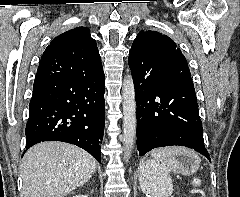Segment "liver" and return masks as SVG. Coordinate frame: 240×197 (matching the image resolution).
<instances>
[{
    "instance_id": "liver-1",
    "label": "liver",
    "mask_w": 240,
    "mask_h": 197,
    "mask_svg": "<svg viewBox=\"0 0 240 197\" xmlns=\"http://www.w3.org/2000/svg\"><path fill=\"white\" fill-rule=\"evenodd\" d=\"M96 160L75 145L46 141L31 147L21 164V197H63L85 184Z\"/></svg>"
}]
</instances>
